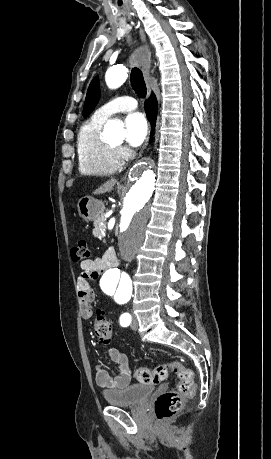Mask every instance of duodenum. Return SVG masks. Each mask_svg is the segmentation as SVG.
Segmentation results:
<instances>
[{
    "label": "duodenum",
    "instance_id": "duodenum-1",
    "mask_svg": "<svg viewBox=\"0 0 271 459\" xmlns=\"http://www.w3.org/2000/svg\"><path fill=\"white\" fill-rule=\"evenodd\" d=\"M109 265L110 266H116V259L114 258L113 255L109 256Z\"/></svg>",
    "mask_w": 271,
    "mask_h": 459
}]
</instances>
